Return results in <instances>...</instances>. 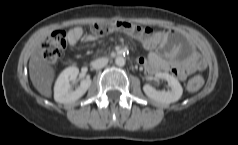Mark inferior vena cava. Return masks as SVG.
<instances>
[{
  "instance_id": "inferior-vena-cava-1",
  "label": "inferior vena cava",
  "mask_w": 238,
  "mask_h": 145,
  "mask_svg": "<svg viewBox=\"0 0 238 145\" xmlns=\"http://www.w3.org/2000/svg\"><path fill=\"white\" fill-rule=\"evenodd\" d=\"M107 63H108L107 58H99L92 62V67L94 69H101V68L105 67L107 65Z\"/></svg>"
}]
</instances>
